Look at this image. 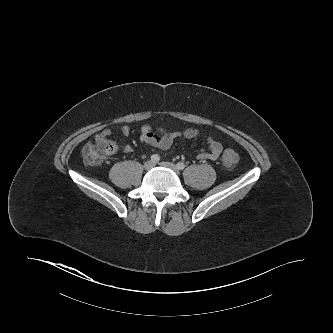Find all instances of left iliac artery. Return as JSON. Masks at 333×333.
<instances>
[{"mask_svg":"<svg viewBox=\"0 0 333 333\" xmlns=\"http://www.w3.org/2000/svg\"><path fill=\"white\" fill-rule=\"evenodd\" d=\"M177 168H178L179 170H183V169L185 168V164H184L183 162H178V163H177Z\"/></svg>","mask_w":333,"mask_h":333,"instance_id":"1","label":"left iliac artery"}]
</instances>
